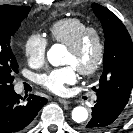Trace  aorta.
I'll list each match as a JSON object with an SVG mask.
<instances>
[{
    "label": "aorta",
    "instance_id": "aorta-1",
    "mask_svg": "<svg viewBox=\"0 0 133 133\" xmlns=\"http://www.w3.org/2000/svg\"><path fill=\"white\" fill-rule=\"evenodd\" d=\"M65 51L62 46L54 45L47 52V59L49 63L53 66H59L62 64V57L64 56ZM88 119V111L83 106H77L72 111V120L75 123L82 124L85 123Z\"/></svg>",
    "mask_w": 133,
    "mask_h": 133
}]
</instances>
